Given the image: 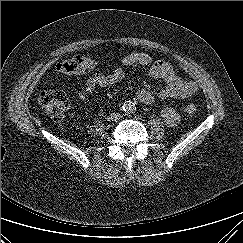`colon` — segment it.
Wrapping results in <instances>:
<instances>
[{
	"instance_id": "5ec220e1",
	"label": "colon",
	"mask_w": 243,
	"mask_h": 243,
	"mask_svg": "<svg viewBox=\"0 0 243 243\" xmlns=\"http://www.w3.org/2000/svg\"><path fill=\"white\" fill-rule=\"evenodd\" d=\"M56 69L64 74H79L85 72L111 73L98 68L95 61L82 55H75L72 58L58 62ZM39 101L46 114L55 121H61L70 107L68 95L62 90L51 87H43L41 89ZM184 109L188 115H194L198 107L195 103L189 102L185 105Z\"/></svg>"
}]
</instances>
